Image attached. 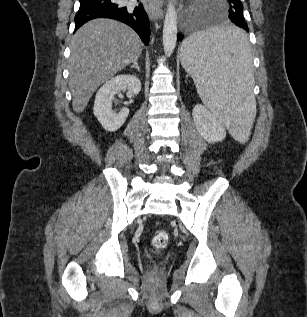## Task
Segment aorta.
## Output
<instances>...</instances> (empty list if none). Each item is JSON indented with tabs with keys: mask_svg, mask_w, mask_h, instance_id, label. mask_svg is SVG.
<instances>
[{
	"mask_svg": "<svg viewBox=\"0 0 307 317\" xmlns=\"http://www.w3.org/2000/svg\"><path fill=\"white\" fill-rule=\"evenodd\" d=\"M177 42V11L172 2L168 4L164 28H163V48L167 56H170Z\"/></svg>",
	"mask_w": 307,
	"mask_h": 317,
	"instance_id": "obj_1",
	"label": "aorta"
}]
</instances>
